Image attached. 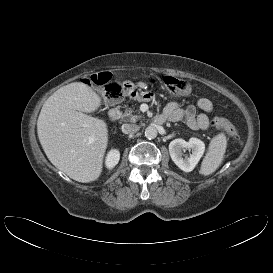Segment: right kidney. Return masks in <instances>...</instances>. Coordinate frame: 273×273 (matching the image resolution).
Instances as JSON below:
<instances>
[{
  "label": "right kidney",
  "mask_w": 273,
  "mask_h": 273,
  "mask_svg": "<svg viewBox=\"0 0 273 273\" xmlns=\"http://www.w3.org/2000/svg\"><path fill=\"white\" fill-rule=\"evenodd\" d=\"M119 159H120L119 151L116 149H112L107 155V158L105 161L106 167L108 169H113L118 164Z\"/></svg>",
  "instance_id": "right-kidney-1"
}]
</instances>
